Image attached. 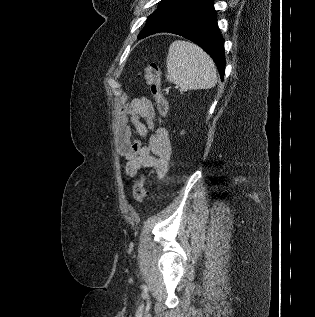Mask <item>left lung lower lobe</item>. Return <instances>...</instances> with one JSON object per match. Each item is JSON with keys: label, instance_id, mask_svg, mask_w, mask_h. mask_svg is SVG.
<instances>
[{"label": "left lung lower lobe", "instance_id": "1", "mask_svg": "<svg viewBox=\"0 0 315 317\" xmlns=\"http://www.w3.org/2000/svg\"><path fill=\"white\" fill-rule=\"evenodd\" d=\"M165 32L177 34L199 45L214 60L223 80L224 39L217 25L213 0H199ZM139 39H142L140 35Z\"/></svg>", "mask_w": 315, "mask_h": 317}]
</instances>
